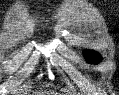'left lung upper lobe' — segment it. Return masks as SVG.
I'll list each match as a JSON object with an SVG mask.
<instances>
[{
  "instance_id": "5c2ea615",
  "label": "left lung upper lobe",
  "mask_w": 119,
  "mask_h": 95,
  "mask_svg": "<svg viewBox=\"0 0 119 95\" xmlns=\"http://www.w3.org/2000/svg\"><path fill=\"white\" fill-rule=\"evenodd\" d=\"M84 56L86 60L90 63H97L101 60L100 55L93 51H85Z\"/></svg>"
}]
</instances>
